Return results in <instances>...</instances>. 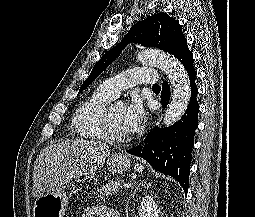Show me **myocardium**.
<instances>
[{"label":"myocardium","mask_w":255,"mask_h":217,"mask_svg":"<svg viewBox=\"0 0 255 217\" xmlns=\"http://www.w3.org/2000/svg\"><path fill=\"white\" fill-rule=\"evenodd\" d=\"M113 105H107L102 112L101 125L106 140L116 143H124L129 141L130 136H121L114 132L111 123V109Z\"/></svg>","instance_id":"f54148a6"}]
</instances>
